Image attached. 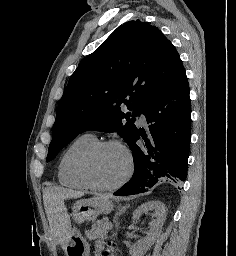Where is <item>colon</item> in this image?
<instances>
[{
  "label": "colon",
  "mask_w": 236,
  "mask_h": 256,
  "mask_svg": "<svg viewBox=\"0 0 236 256\" xmlns=\"http://www.w3.org/2000/svg\"><path fill=\"white\" fill-rule=\"evenodd\" d=\"M113 246H114V243L109 242L108 247L102 251L101 256H111V250Z\"/></svg>",
  "instance_id": "1"
}]
</instances>
